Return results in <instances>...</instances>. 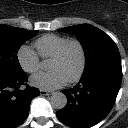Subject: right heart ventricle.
I'll return each instance as SVG.
<instances>
[{"label":"right heart ventricle","instance_id":"1","mask_svg":"<svg viewBox=\"0 0 128 128\" xmlns=\"http://www.w3.org/2000/svg\"><path fill=\"white\" fill-rule=\"evenodd\" d=\"M70 39L57 34H47L35 41L39 56L43 59L52 58Z\"/></svg>","mask_w":128,"mask_h":128}]
</instances>
